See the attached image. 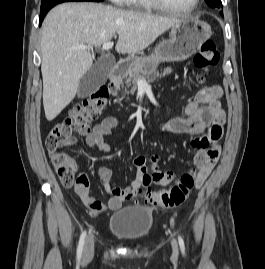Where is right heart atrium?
<instances>
[{
	"mask_svg": "<svg viewBox=\"0 0 265 269\" xmlns=\"http://www.w3.org/2000/svg\"><path fill=\"white\" fill-rule=\"evenodd\" d=\"M114 5H123L127 2V0H109Z\"/></svg>",
	"mask_w": 265,
	"mask_h": 269,
	"instance_id": "d8ad5b80",
	"label": "right heart atrium"
}]
</instances>
